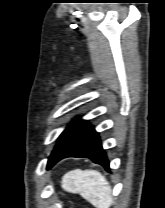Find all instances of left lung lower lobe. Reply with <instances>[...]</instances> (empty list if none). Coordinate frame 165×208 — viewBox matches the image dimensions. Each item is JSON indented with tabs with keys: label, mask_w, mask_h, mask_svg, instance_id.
I'll list each match as a JSON object with an SVG mask.
<instances>
[{
	"label": "left lung lower lobe",
	"mask_w": 165,
	"mask_h": 208,
	"mask_svg": "<svg viewBox=\"0 0 165 208\" xmlns=\"http://www.w3.org/2000/svg\"><path fill=\"white\" fill-rule=\"evenodd\" d=\"M66 157H86L102 165L107 171L110 169L98 133L88 123L83 126L62 159Z\"/></svg>",
	"instance_id": "0a47b994"
}]
</instances>
